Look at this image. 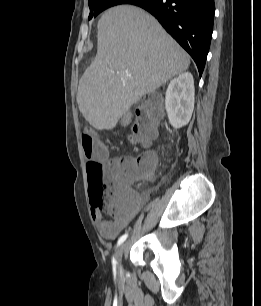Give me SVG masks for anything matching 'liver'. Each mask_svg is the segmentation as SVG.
<instances>
[{
  "instance_id": "6515ba94",
  "label": "liver",
  "mask_w": 261,
  "mask_h": 306,
  "mask_svg": "<svg viewBox=\"0 0 261 306\" xmlns=\"http://www.w3.org/2000/svg\"><path fill=\"white\" fill-rule=\"evenodd\" d=\"M97 54L79 81V110L98 130L113 129L145 94L190 65L188 54L144 10L120 5L98 21Z\"/></svg>"
}]
</instances>
